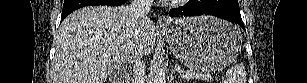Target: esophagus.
Masks as SVG:
<instances>
[{"mask_svg":"<svg viewBox=\"0 0 307 83\" xmlns=\"http://www.w3.org/2000/svg\"><path fill=\"white\" fill-rule=\"evenodd\" d=\"M157 23H158V26L160 28H166L167 27L166 22H165V18L162 15L158 16Z\"/></svg>","mask_w":307,"mask_h":83,"instance_id":"34e87169","label":"esophagus"}]
</instances>
